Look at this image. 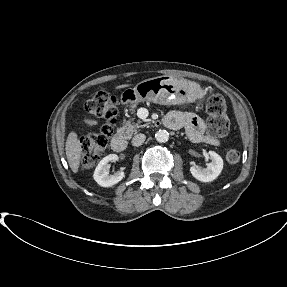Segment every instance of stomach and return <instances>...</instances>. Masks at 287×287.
Masks as SVG:
<instances>
[{
	"instance_id": "0dacf381",
	"label": "stomach",
	"mask_w": 287,
	"mask_h": 287,
	"mask_svg": "<svg viewBox=\"0 0 287 287\" xmlns=\"http://www.w3.org/2000/svg\"><path fill=\"white\" fill-rule=\"evenodd\" d=\"M198 97L192 85L171 75H162L139 82L121 94V102L135 107L138 102L150 101L163 105H179Z\"/></svg>"
}]
</instances>
